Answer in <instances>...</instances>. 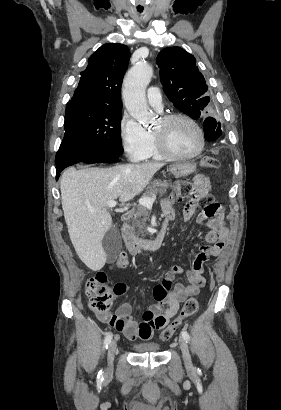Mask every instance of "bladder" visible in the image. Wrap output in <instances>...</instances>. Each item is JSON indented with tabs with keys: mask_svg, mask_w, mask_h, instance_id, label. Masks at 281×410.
<instances>
[{
	"mask_svg": "<svg viewBox=\"0 0 281 410\" xmlns=\"http://www.w3.org/2000/svg\"><path fill=\"white\" fill-rule=\"evenodd\" d=\"M132 349L137 354H151L160 352L161 346L154 342L137 343L132 346Z\"/></svg>",
	"mask_w": 281,
	"mask_h": 410,
	"instance_id": "31cf9c89",
	"label": "bladder"
}]
</instances>
